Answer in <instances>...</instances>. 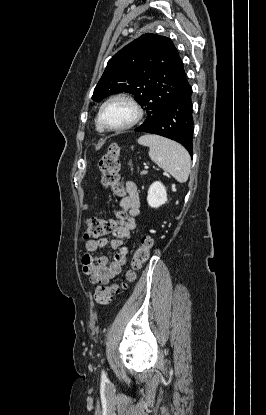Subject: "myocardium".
<instances>
[{
	"label": "myocardium",
	"instance_id": "obj_1",
	"mask_svg": "<svg viewBox=\"0 0 266 415\" xmlns=\"http://www.w3.org/2000/svg\"><path fill=\"white\" fill-rule=\"evenodd\" d=\"M115 101H124L128 103L134 110V117L132 118L130 122H128L125 125L118 126V127H111V126H108L104 122L103 112L107 105ZM142 117H143V109L141 108L139 103L129 94L118 93V94H115L109 97L107 100L103 102L98 112V123L104 130L111 131V132H120V131L128 130L134 127L136 124L139 123Z\"/></svg>",
	"mask_w": 266,
	"mask_h": 415
}]
</instances>
